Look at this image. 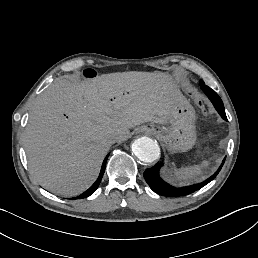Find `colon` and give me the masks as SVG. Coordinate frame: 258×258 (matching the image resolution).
I'll list each match as a JSON object with an SVG mask.
<instances>
[{"mask_svg":"<svg viewBox=\"0 0 258 258\" xmlns=\"http://www.w3.org/2000/svg\"><path fill=\"white\" fill-rule=\"evenodd\" d=\"M82 77L86 79H93L98 76V71L93 68H88L82 71Z\"/></svg>","mask_w":258,"mask_h":258,"instance_id":"5ec220e1","label":"colon"}]
</instances>
